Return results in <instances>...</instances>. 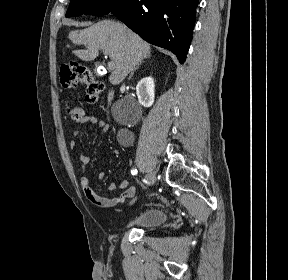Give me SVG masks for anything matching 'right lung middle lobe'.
I'll list each match as a JSON object with an SVG mask.
<instances>
[{
	"instance_id": "dd1d6c3e",
	"label": "right lung middle lobe",
	"mask_w": 288,
	"mask_h": 280,
	"mask_svg": "<svg viewBox=\"0 0 288 280\" xmlns=\"http://www.w3.org/2000/svg\"><path fill=\"white\" fill-rule=\"evenodd\" d=\"M126 0H71L66 17L82 14L102 16L122 5Z\"/></svg>"
}]
</instances>
